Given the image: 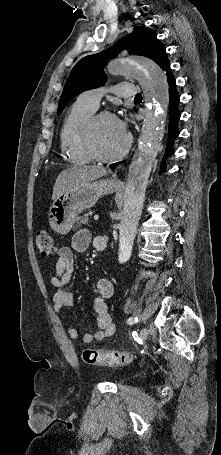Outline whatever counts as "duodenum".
Returning a JSON list of instances; mask_svg holds the SVG:
<instances>
[{"instance_id":"obj_1","label":"duodenum","mask_w":221,"mask_h":455,"mask_svg":"<svg viewBox=\"0 0 221 455\" xmlns=\"http://www.w3.org/2000/svg\"><path fill=\"white\" fill-rule=\"evenodd\" d=\"M106 246H107L106 238L99 236L95 241V248L98 251L103 252L106 249Z\"/></svg>"}]
</instances>
